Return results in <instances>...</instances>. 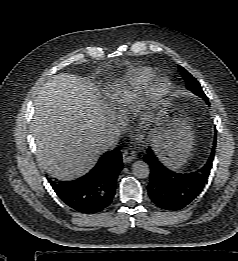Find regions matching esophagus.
<instances>
[{
    "instance_id": "34e87169",
    "label": "esophagus",
    "mask_w": 238,
    "mask_h": 261,
    "mask_svg": "<svg viewBox=\"0 0 238 261\" xmlns=\"http://www.w3.org/2000/svg\"><path fill=\"white\" fill-rule=\"evenodd\" d=\"M123 161L124 163H130L136 158V154L134 151H129L127 149H124L122 151Z\"/></svg>"
}]
</instances>
